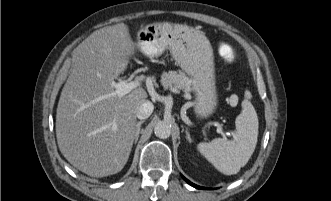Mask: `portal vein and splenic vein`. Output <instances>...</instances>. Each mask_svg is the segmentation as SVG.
I'll return each mask as SVG.
<instances>
[{
    "mask_svg": "<svg viewBox=\"0 0 331 201\" xmlns=\"http://www.w3.org/2000/svg\"><path fill=\"white\" fill-rule=\"evenodd\" d=\"M140 85L139 80L129 81V80H120L118 82L113 81L112 86L115 88L113 95L122 97L130 93L133 89L137 88ZM173 92H177L175 88H172ZM217 132L224 135L223 129L218 125Z\"/></svg>",
    "mask_w": 331,
    "mask_h": 201,
    "instance_id": "18ae733b",
    "label": "portal vein and splenic vein"
}]
</instances>
